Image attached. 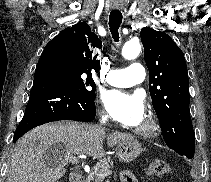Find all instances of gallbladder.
Instances as JSON below:
<instances>
[{"mask_svg":"<svg viewBox=\"0 0 211 182\" xmlns=\"http://www.w3.org/2000/svg\"><path fill=\"white\" fill-rule=\"evenodd\" d=\"M56 148H60L59 144H56L55 147H51L44 155V158L47 159H51L52 156H54L57 153Z\"/></svg>","mask_w":211,"mask_h":182,"instance_id":"bac80fb5","label":"gallbladder"}]
</instances>
